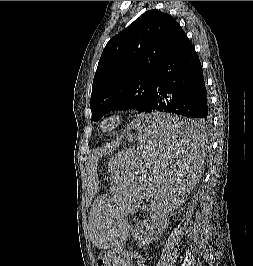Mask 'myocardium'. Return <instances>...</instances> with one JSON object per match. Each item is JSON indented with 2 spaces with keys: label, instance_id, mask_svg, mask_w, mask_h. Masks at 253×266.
<instances>
[{
  "label": "myocardium",
  "instance_id": "myocardium-1",
  "mask_svg": "<svg viewBox=\"0 0 253 266\" xmlns=\"http://www.w3.org/2000/svg\"><path fill=\"white\" fill-rule=\"evenodd\" d=\"M126 119V109L118 108L102 115L98 122V128L102 133L109 135L117 131L125 123ZM107 123L109 126L105 127Z\"/></svg>",
  "mask_w": 253,
  "mask_h": 266
}]
</instances>
